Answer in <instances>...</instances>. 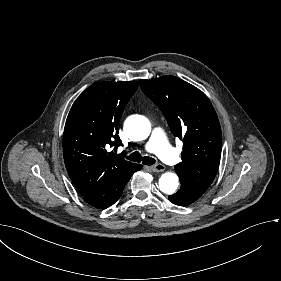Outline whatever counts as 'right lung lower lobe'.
<instances>
[{"label": "right lung lower lobe", "instance_id": "right-lung-lower-lobe-1", "mask_svg": "<svg viewBox=\"0 0 281 281\" xmlns=\"http://www.w3.org/2000/svg\"><path fill=\"white\" fill-rule=\"evenodd\" d=\"M142 165H137L133 170L127 174L117 178L103 188L83 196L84 200L91 206L104 209L113 205L121 196L125 185L128 183L132 174L141 169Z\"/></svg>", "mask_w": 281, "mask_h": 281}]
</instances>
